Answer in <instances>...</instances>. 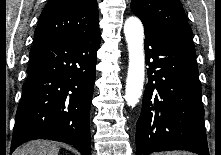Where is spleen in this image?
<instances>
[{
	"mask_svg": "<svg viewBox=\"0 0 221 155\" xmlns=\"http://www.w3.org/2000/svg\"><path fill=\"white\" fill-rule=\"evenodd\" d=\"M167 155H191V153L185 151H178V152L167 153Z\"/></svg>",
	"mask_w": 221,
	"mask_h": 155,
	"instance_id": "spleen-1",
	"label": "spleen"
}]
</instances>
